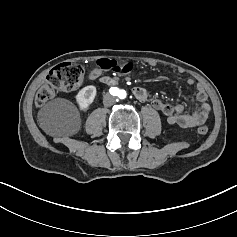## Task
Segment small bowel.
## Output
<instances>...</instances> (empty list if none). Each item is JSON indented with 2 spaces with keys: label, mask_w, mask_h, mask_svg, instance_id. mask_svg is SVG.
<instances>
[{
  "label": "small bowel",
  "mask_w": 237,
  "mask_h": 237,
  "mask_svg": "<svg viewBox=\"0 0 237 237\" xmlns=\"http://www.w3.org/2000/svg\"><path fill=\"white\" fill-rule=\"evenodd\" d=\"M100 75L101 69L98 67L90 72L89 77L91 79H96ZM187 84L188 86L196 85V98L200 102V105L193 111H186L184 106L181 104L171 105L160 99H153L151 101L152 107L161 112L166 117L169 124L178 125L182 128H191L204 123L208 119L211 111V106L208 103V96L204 87L199 83L196 84L193 79H189ZM132 93L134 97L141 102L148 99V92L143 87H134Z\"/></svg>",
  "instance_id": "1"
}]
</instances>
